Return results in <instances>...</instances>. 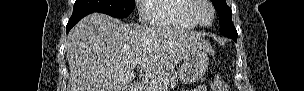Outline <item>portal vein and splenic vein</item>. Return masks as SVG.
Listing matches in <instances>:
<instances>
[{
    "instance_id": "portal-vein-and-splenic-vein-1",
    "label": "portal vein and splenic vein",
    "mask_w": 304,
    "mask_h": 91,
    "mask_svg": "<svg viewBox=\"0 0 304 91\" xmlns=\"http://www.w3.org/2000/svg\"><path fill=\"white\" fill-rule=\"evenodd\" d=\"M140 63H141V59H140V58H135V59L132 61L131 65H132L133 67H136V66H138Z\"/></svg>"
}]
</instances>
